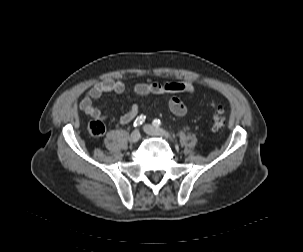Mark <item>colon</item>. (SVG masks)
<instances>
[{
	"label": "colon",
	"mask_w": 303,
	"mask_h": 252,
	"mask_svg": "<svg viewBox=\"0 0 303 252\" xmlns=\"http://www.w3.org/2000/svg\"><path fill=\"white\" fill-rule=\"evenodd\" d=\"M224 109L217 107L214 109L212 127L219 130L224 126ZM89 132L92 136L98 137L105 133V125L101 120H93L89 124Z\"/></svg>",
	"instance_id": "colon-1"
}]
</instances>
